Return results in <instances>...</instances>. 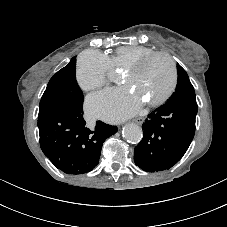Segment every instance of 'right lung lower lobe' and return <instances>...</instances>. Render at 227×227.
Instances as JSON below:
<instances>
[{
	"label": "right lung lower lobe",
	"mask_w": 227,
	"mask_h": 227,
	"mask_svg": "<svg viewBox=\"0 0 227 227\" xmlns=\"http://www.w3.org/2000/svg\"><path fill=\"white\" fill-rule=\"evenodd\" d=\"M40 146L53 165L67 174L91 171L99 162L106 138L115 134L116 126L96 122L86 126L82 107L56 108L38 117Z\"/></svg>",
	"instance_id": "right-lung-lower-lobe-1"
}]
</instances>
